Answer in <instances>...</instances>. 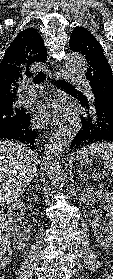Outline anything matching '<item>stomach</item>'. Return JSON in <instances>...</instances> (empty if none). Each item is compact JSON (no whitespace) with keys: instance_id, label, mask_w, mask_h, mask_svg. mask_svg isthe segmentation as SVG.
Returning a JSON list of instances; mask_svg holds the SVG:
<instances>
[{"instance_id":"0dacf381","label":"stomach","mask_w":113,"mask_h":279,"mask_svg":"<svg viewBox=\"0 0 113 279\" xmlns=\"http://www.w3.org/2000/svg\"><path fill=\"white\" fill-rule=\"evenodd\" d=\"M96 158V153L94 151H86L84 149L76 152L75 160L80 165H90Z\"/></svg>"}]
</instances>
